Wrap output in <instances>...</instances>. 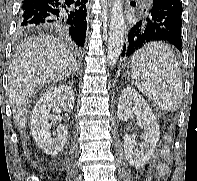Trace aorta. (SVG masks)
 Segmentation results:
<instances>
[{"instance_id": "1", "label": "aorta", "mask_w": 197, "mask_h": 181, "mask_svg": "<svg viewBox=\"0 0 197 181\" xmlns=\"http://www.w3.org/2000/svg\"><path fill=\"white\" fill-rule=\"evenodd\" d=\"M125 23L121 0H113L110 30L108 37L107 60L110 66H114L124 44Z\"/></svg>"}]
</instances>
